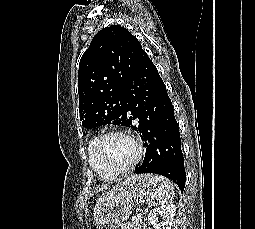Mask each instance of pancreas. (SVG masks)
Returning <instances> with one entry per match:
<instances>
[{"instance_id": "1", "label": "pancreas", "mask_w": 255, "mask_h": 229, "mask_svg": "<svg viewBox=\"0 0 255 229\" xmlns=\"http://www.w3.org/2000/svg\"><path fill=\"white\" fill-rule=\"evenodd\" d=\"M121 229H141V215L135 216L132 222L122 224Z\"/></svg>"}]
</instances>
